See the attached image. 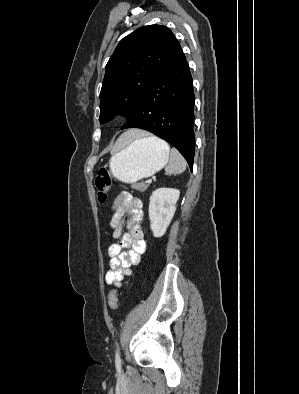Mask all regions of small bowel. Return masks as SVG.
Masks as SVG:
<instances>
[{
	"label": "small bowel",
	"mask_w": 299,
	"mask_h": 394,
	"mask_svg": "<svg viewBox=\"0 0 299 394\" xmlns=\"http://www.w3.org/2000/svg\"><path fill=\"white\" fill-rule=\"evenodd\" d=\"M111 210L112 237L120 239V242L111 244L108 248L110 270L105 279L108 284L119 286L124 276L131 273V266L137 264L146 251L142 227V202L130 193L121 191L115 195Z\"/></svg>",
	"instance_id": "1"
}]
</instances>
